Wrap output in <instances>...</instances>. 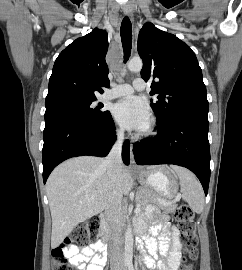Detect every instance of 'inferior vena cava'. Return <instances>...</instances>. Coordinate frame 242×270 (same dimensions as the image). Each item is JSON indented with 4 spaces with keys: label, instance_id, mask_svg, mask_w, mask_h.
Returning a JSON list of instances; mask_svg holds the SVG:
<instances>
[{
    "label": "inferior vena cava",
    "instance_id": "obj_1",
    "mask_svg": "<svg viewBox=\"0 0 242 270\" xmlns=\"http://www.w3.org/2000/svg\"><path fill=\"white\" fill-rule=\"evenodd\" d=\"M124 140V131L117 132V141L113 145L104 164L107 167V173L111 183L108 204L106 206V217L113 230V244L111 249V264L113 268L122 270L123 267V249L121 245V220H122V143Z\"/></svg>",
    "mask_w": 242,
    "mask_h": 270
}]
</instances>
